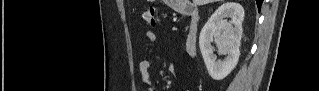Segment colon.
Wrapping results in <instances>:
<instances>
[{"label":"colon","instance_id":"colon-1","mask_svg":"<svg viewBox=\"0 0 319 91\" xmlns=\"http://www.w3.org/2000/svg\"><path fill=\"white\" fill-rule=\"evenodd\" d=\"M142 21L152 27H155L156 25V20H155V7L154 6H149L146 8L142 14H141Z\"/></svg>","mask_w":319,"mask_h":91}]
</instances>
